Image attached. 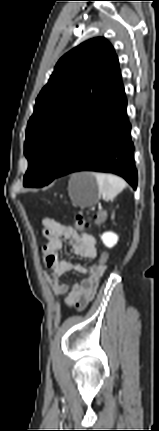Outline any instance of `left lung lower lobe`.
I'll list each match as a JSON object with an SVG mask.
<instances>
[{
    "label": "left lung lower lobe",
    "instance_id": "1",
    "mask_svg": "<svg viewBox=\"0 0 159 431\" xmlns=\"http://www.w3.org/2000/svg\"><path fill=\"white\" fill-rule=\"evenodd\" d=\"M126 107L122 86L115 97L77 133L55 178L79 171L114 173L123 177L135 190L138 176Z\"/></svg>",
    "mask_w": 159,
    "mask_h": 431
}]
</instances>
